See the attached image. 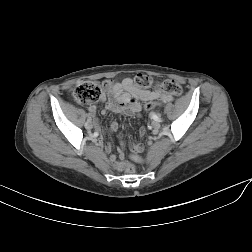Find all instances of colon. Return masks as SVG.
I'll return each instance as SVG.
<instances>
[{"mask_svg": "<svg viewBox=\"0 0 252 252\" xmlns=\"http://www.w3.org/2000/svg\"><path fill=\"white\" fill-rule=\"evenodd\" d=\"M134 84L138 88L147 89L151 87L152 80L151 77L146 74H137L134 77ZM156 91L163 92L168 95H179L182 91L180 84L172 79H167L160 81L155 84ZM72 97L81 103L88 101H98L103 98V92L99 84L94 82H82L77 84L71 89ZM156 106V103H148L146 105L147 110H151ZM137 145H135L136 147ZM127 173H133L135 167L131 162L125 165Z\"/></svg>", "mask_w": 252, "mask_h": 252, "instance_id": "5ec220e1", "label": "colon"}]
</instances>
